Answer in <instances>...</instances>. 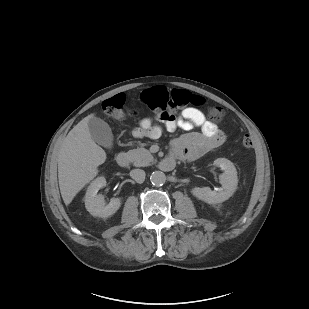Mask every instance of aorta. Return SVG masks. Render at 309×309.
I'll use <instances>...</instances> for the list:
<instances>
[{
  "mask_svg": "<svg viewBox=\"0 0 309 309\" xmlns=\"http://www.w3.org/2000/svg\"><path fill=\"white\" fill-rule=\"evenodd\" d=\"M150 181L154 186H162L166 182V175L162 171H154L150 176Z\"/></svg>",
  "mask_w": 309,
  "mask_h": 309,
  "instance_id": "1",
  "label": "aorta"
}]
</instances>
